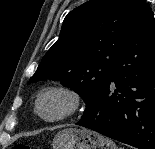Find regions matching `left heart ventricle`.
<instances>
[{
	"mask_svg": "<svg viewBox=\"0 0 155 149\" xmlns=\"http://www.w3.org/2000/svg\"><path fill=\"white\" fill-rule=\"evenodd\" d=\"M66 108V101L62 96L49 95L41 102V111L46 117H55Z\"/></svg>",
	"mask_w": 155,
	"mask_h": 149,
	"instance_id": "b2bd125f",
	"label": "left heart ventricle"
}]
</instances>
